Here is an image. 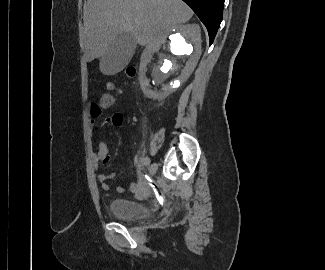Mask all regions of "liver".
Here are the masks:
<instances>
[{"mask_svg":"<svg viewBox=\"0 0 325 270\" xmlns=\"http://www.w3.org/2000/svg\"><path fill=\"white\" fill-rule=\"evenodd\" d=\"M192 16V10L182 0H87L85 59L91 62L102 58L122 33L132 34L136 43L146 46L145 56L156 47L165 30L188 22Z\"/></svg>","mask_w":325,"mask_h":270,"instance_id":"liver-1","label":"liver"}]
</instances>
